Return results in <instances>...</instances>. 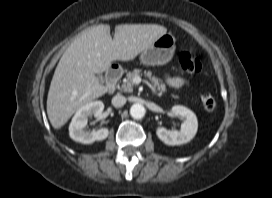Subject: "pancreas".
I'll use <instances>...</instances> for the list:
<instances>
[{
    "label": "pancreas",
    "instance_id": "1",
    "mask_svg": "<svg viewBox=\"0 0 272 198\" xmlns=\"http://www.w3.org/2000/svg\"><path fill=\"white\" fill-rule=\"evenodd\" d=\"M144 75L149 78L152 83L154 84L155 87H157V90L159 91V93H164L166 92V86L165 84L162 82L161 79L157 78L156 76L152 75L151 71H144L143 72ZM137 76H142V70L141 69H134L133 71H130L126 74V78L123 80V84L121 86V89L124 92H133V86H134V82L133 79Z\"/></svg>",
    "mask_w": 272,
    "mask_h": 198
}]
</instances>
